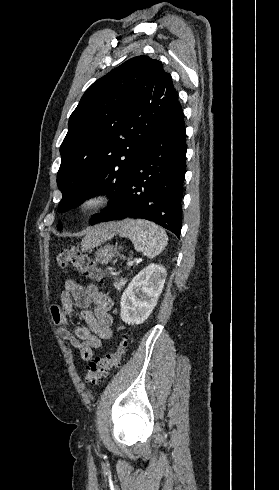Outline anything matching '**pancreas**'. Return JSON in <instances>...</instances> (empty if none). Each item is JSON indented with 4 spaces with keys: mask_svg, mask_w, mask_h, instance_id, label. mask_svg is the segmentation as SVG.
I'll return each mask as SVG.
<instances>
[{
    "mask_svg": "<svg viewBox=\"0 0 279 490\" xmlns=\"http://www.w3.org/2000/svg\"><path fill=\"white\" fill-rule=\"evenodd\" d=\"M117 288H122L124 286V280H120L119 284H116Z\"/></svg>",
    "mask_w": 279,
    "mask_h": 490,
    "instance_id": "obj_1",
    "label": "pancreas"
}]
</instances>
